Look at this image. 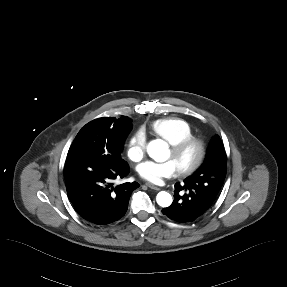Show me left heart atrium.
Returning <instances> with one entry per match:
<instances>
[{
  "instance_id": "39dd6f15",
  "label": "left heart atrium",
  "mask_w": 287,
  "mask_h": 287,
  "mask_svg": "<svg viewBox=\"0 0 287 287\" xmlns=\"http://www.w3.org/2000/svg\"><path fill=\"white\" fill-rule=\"evenodd\" d=\"M177 173L178 168L172 160L163 163L146 161L138 168L140 178L151 184H160L164 179L172 178Z\"/></svg>"
}]
</instances>
